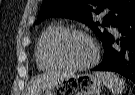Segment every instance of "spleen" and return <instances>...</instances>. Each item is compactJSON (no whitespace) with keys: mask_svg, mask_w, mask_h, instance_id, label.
Returning <instances> with one entry per match:
<instances>
[{"mask_svg":"<svg viewBox=\"0 0 135 95\" xmlns=\"http://www.w3.org/2000/svg\"><path fill=\"white\" fill-rule=\"evenodd\" d=\"M96 75L101 78L103 84L112 91L113 95H121L125 88L123 79L111 72H97Z\"/></svg>","mask_w":135,"mask_h":95,"instance_id":"1","label":"spleen"}]
</instances>
